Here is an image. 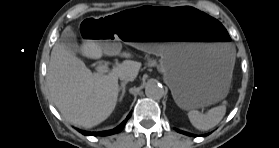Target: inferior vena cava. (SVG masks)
<instances>
[{"label":"inferior vena cava","instance_id":"1","mask_svg":"<svg viewBox=\"0 0 279 148\" xmlns=\"http://www.w3.org/2000/svg\"><path fill=\"white\" fill-rule=\"evenodd\" d=\"M120 80H122V81H124V82H125V81L128 82V81H132L133 79H132L131 77H127V76H121V77H120Z\"/></svg>","mask_w":279,"mask_h":148}]
</instances>
